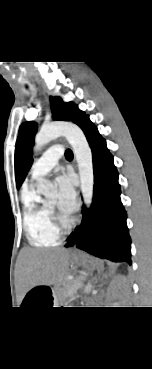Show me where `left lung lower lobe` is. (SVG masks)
<instances>
[{"label": "left lung lower lobe", "instance_id": "obj_1", "mask_svg": "<svg viewBox=\"0 0 152 369\" xmlns=\"http://www.w3.org/2000/svg\"><path fill=\"white\" fill-rule=\"evenodd\" d=\"M93 156L94 192L90 209L83 206V220L66 247L76 246L100 258L131 265V239L120 199L118 172L105 139L87 117L81 125Z\"/></svg>", "mask_w": 152, "mask_h": 369}]
</instances>
